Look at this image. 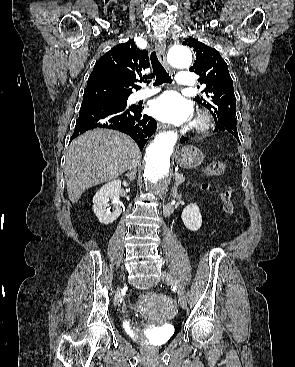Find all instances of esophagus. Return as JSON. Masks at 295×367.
Returning <instances> with one entry per match:
<instances>
[{"label": "esophagus", "mask_w": 295, "mask_h": 367, "mask_svg": "<svg viewBox=\"0 0 295 367\" xmlns=\"http://www.w3.org/2000/svg\"><path fill=\"white\" fill-rule=\"evenodd\" d=\"M158 57L159 60L161 61V63L163 64V66L168 70L171 71L170 66L166 60V54H165V43H162L158 46ZM166 128L165 125L163 124H159L158 125V129H164Z\"/></svg>", "instance_id": "34e87169"}]
</instances>
